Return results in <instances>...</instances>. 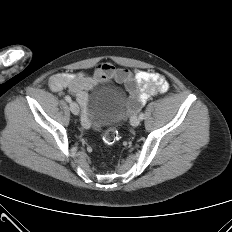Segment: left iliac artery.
Here are the masks:
<instances>
[{
	"label": "left iliac artery",
	"instance_id": "44dca946",
	"mask_svg": "<svg viewBox=\"0 0 232 232\" xmlns=\"http://www.w3.org/2000/svg\"><path fill=\"white\" fill-rule=\"evenodd\" d=\"M139 119H140V120H143V119H144V113H140Z\"/></svg>",
	"mask_w": 232,
	"mask_h": 232
}]
</instances>
